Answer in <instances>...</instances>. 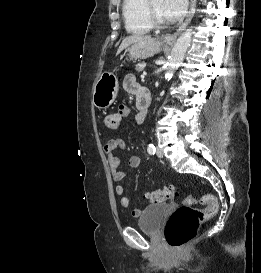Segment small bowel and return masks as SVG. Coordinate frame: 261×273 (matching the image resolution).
Instances as JSON below:
<instances>
[{
	"label": "small bowel",
	"mask_w": 261,
	"mask_h": 273,
	"mask_svg": "<svg viewBox=\"0 0 261 273\" xmlns=\"http://www.w3.org/2000/svg\"><path fill=\"white\" fill-rule=\"evenodd\" d=\"M124 88L127 92L133 94L136 99L141 95V92L144 90L141 88L136 79L132 75H127L124 79ZM120 112L123 113V116H127L129 114V109L121 105ZM126 144L122 139L114 138L108 140L103 148V151L107 157L108 166L111 172L112 179L115 182H120L124 179L126 172L125 170L120 168L121 160L119 156L116 155L117 150H125ZM141 164V158L139 156H131L127 161V166L130 168H137ZM115 192L119 195L120 198V206L123 209H127L129 207L130 199L128 196L125 195V187L121 184L117 185L115 188ZM141 209H134L132 210L131 214L134 217H138L141 215Z\"/></svg>",
	"instance_id": "c3829d8e"
}]
</instances>
